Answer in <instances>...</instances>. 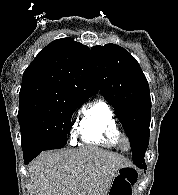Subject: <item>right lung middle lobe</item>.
<instances>
[{
  "label": "right lung middle lobe",
  "instance_id": "dd1d6c3e",
  "mask_svg": "<svg viewBox=\"0 0 178 195\" xmlns=\"http://www.w3.org/2000/svg\"><path fill=\"white\" fill-rule=\"evenodd\" d=\"M83 102L40 96L19 98L23 153L65 146L72 114Z\"/></svg>",
  "mask_w": 178,
  "mask_h": 195
}]
</instances>
